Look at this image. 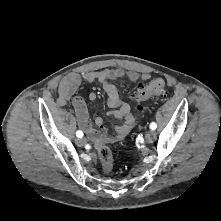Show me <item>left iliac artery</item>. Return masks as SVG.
Masks as SVG:
<instances>
[{
  "label": "left iliac artery",
  "instance_id": "1",
  "mask_svg": "<svg viewBox=\"0 0 221 221\" xmlns=\"http://www.w3.org/2000/svg\"><path fill=\"white\" fill-rule=\"evenodd\" d=\"M150 128H151L152 130H155V129L157 128V124H156L155 122H152V123L150 124Z\"/></svg>",
  "mask_w": 221,
  "mask_h": 221
}]
</instances>
